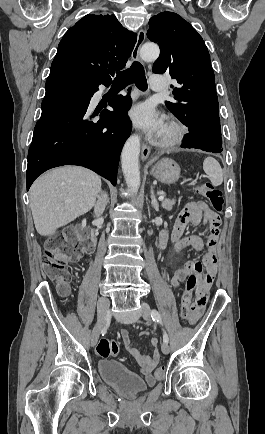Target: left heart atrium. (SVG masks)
Wrapping results in <instances>:
<instances>
[{
  "instance_id": "obj_1",
  "label": "left heart atrium",
  "mask_w": 265,
  "mask_h": 434,
  "mask_svg": "<svg viewBox=\"0 0 265 434\" xmlns=\"http://www.w3.org/2000/svg\"><path fill=\"white\" fill-rule=\"evenodd\" d=\"M129 116L135 125L156 137L163 133V125L158 119L156 110L148 103L142 102L129 111Z\"/></svg>"
}]
</instances>
